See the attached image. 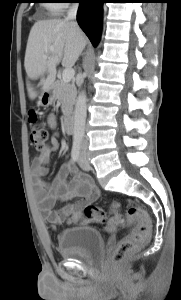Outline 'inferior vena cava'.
Wrapping results in <instances>:
<instances>
[{"mask_svg": "<svg viewBox=\"0 0 181 300\" xmlns=\"http://www.w3.org/2000/svg\"><path fill=\"white\" fill-rule=\"evenodd\" d=\"M78 10V3H74L71 8L69 9L67 13V17L65 18V21H75L76 15Z\"/></svg>", "mask_w": 181, "mask_h": 300, "instance_id": "602c4592", "label": "inferior vena cava"}]
</instances>
